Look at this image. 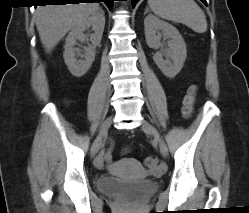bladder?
<instances>
[{"label":"bladder","mask_w":249,"mask_h":213,"mask_svg":"<svg viewBox=\"0 0 249 213\" xmlns=\"http://www.w3.org/2000/svg\"><path fill=\"white\" fill-rule=\"evenodd\" d=\"M98 189L110 196L141 201L158 189V183L150 178L141 180H124L105 176L98 180Z\"/></svg>","instance_id":"31cf9c89"}]
</instances>
